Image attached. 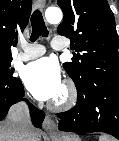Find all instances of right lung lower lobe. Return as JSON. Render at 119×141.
I'll use <instances>...</instances> for the list:
<instances>
[{"label": "right lung lower lobe", "instance_id": "right-lung-lower-lobe-1", "mask_svg": "<svg viewBox=\"0 0 119 141\" xmlns=\"http://www.w3.org/2000/svg\"><path fill=\"white\" fill-rule=\"evenodd\" d=\"M23 96L24 88L18 78L9 83L0 82V120L6 116L10 106L22 100ZM28 104L34 126L41 128L45 117L44 112L37 109L29 102Z\"/></svg>", "mask_w": 119, "mask_h": 141}]
</instances>
